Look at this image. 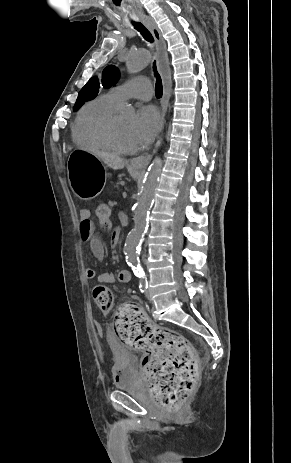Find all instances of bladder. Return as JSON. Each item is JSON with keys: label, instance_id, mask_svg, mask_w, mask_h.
I'll return each instance as SVG.
<instances>
[{"label": "bladder", "instance_id": "1", "mask_svg": "<svg viewBox=\"0 0 291 463\" xmlns=\"http://www.w3.org/2000/svg\"><path fill=\"white\" fill-rule=\"evenodd\" d=\"M135 360L130 354L118 353L115 356V386L118 389H131L137 386V374L134 368Z\"/></svg>", "mask_w": 291, "mask_h": 463}]
</instances>
